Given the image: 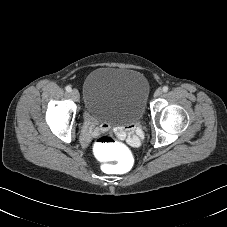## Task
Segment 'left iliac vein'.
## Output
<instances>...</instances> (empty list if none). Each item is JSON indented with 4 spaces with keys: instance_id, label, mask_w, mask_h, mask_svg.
Here are the masks:
<instances>
[{
    "instance_id": "4c4485c4",
    "label": "left iliac vein",
    "mask_w": 227,
    "mask_h": 227,
    "mask_svg": "<svg viewBox=\"0 0 227 227\" xmlns=\"http://www.w3.org/2000/svg\"><path fill=\"white\" fill-rule=\"evenodd\" d=\"M163 93V90L161 88H158L155 93H154V96L155 97H160Z\"/></svg>"
}]
</instances>
